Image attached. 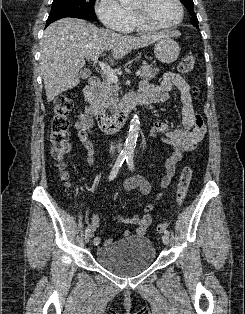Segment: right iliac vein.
Listing matches in <instances>:
<instances>
[{
  "label": "right iliac vein",
  "instance_id": "63e3f726",
  "mask_svg": "<svg viewBox=\"0 0 245 314\" xmlns=\"http://www.w3.org/2000/svg\"><path fill=\"white\" fill-rule=\"evenodd\" d=\"M90 238H91V234L90 233H87L85 235V242L88 243L90 241Z\"/></svg>",
  "mask_w": 245,
  "mask_h": 314
}]
</instances>
